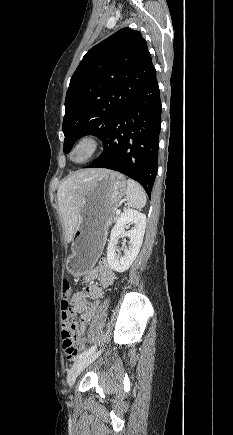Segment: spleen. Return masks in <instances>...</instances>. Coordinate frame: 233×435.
Segmentation results:
<instances>
[{
    "label": "spleen",
    "mask_w": 233,
    "mask_h": 435,
    "mask_svg": "<svg viewBox=\"0 0 233 435\" xmlns=\"http://www.w3.org/2000/svg\"><path fill=\"white\" fill-rule=\"evenodd\" d=\"M126 199L129 207L141 209L146 205V193L142 186L132 179L127 180Z\"/></svg>",
    "instance_id": "1"
}]
</instances>
